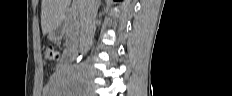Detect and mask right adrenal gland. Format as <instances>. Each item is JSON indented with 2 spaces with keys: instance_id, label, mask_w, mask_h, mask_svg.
Masks as SVG:
<instances>
[{
  "instance_id": "2a0ac1e0",
  "label": "right adrenal gland",
  "mask_w": 232,
  "mask_h": 96,
  "mask_svg": "<svg viewBox=\"0 0 232 96\" xmlns=\"http://www.w3.org/2000/svg\"><path fill=\"white\" fill-rule=\"evenodd\" d=\"M100 2H101V1H99V3H98L99 6H100V4H101Z\"/></svg>"
}]
</instances>
